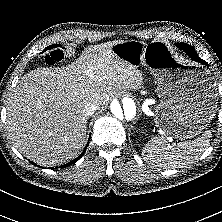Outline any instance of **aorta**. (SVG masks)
Listing matches in <instances>:
<instances>
[{
  "label": "aorta",
  "instance_id": "aorta-1",
  "mask_svg": "<svg viewBox=\"0 0 222 222\" xmlns=\"http://www.w3.org/2000/svg\"><path fill=\"white\" fill-rule=\"evenodd\" d=\"M110 112L121 123L131 121L137 116L136 101L132 96H123L121 100L112 101Z\"/></svg>",
  "mask_w": 222,
  "mask_h": 222
}]
</instances>
